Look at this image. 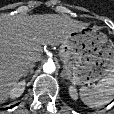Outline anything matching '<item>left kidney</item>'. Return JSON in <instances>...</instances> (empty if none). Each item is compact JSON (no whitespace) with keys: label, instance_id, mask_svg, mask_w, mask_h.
<instances>
[{"label":"left kidney","instance_id":"5707ae66","mask_svg":"<svg viewBox=\"0 0 114 114\" xmlns=\"http://www.w3.org/2000/svg\"><path fill=\"white\" fill-rule=\"evenodd\" d=\"M68 91H69L70 97H71L73 100H77L78 94H77L76 88L71 85V86H69Z\"/></svg>","mask_w":114,"mask_h":114}]
</instances>
